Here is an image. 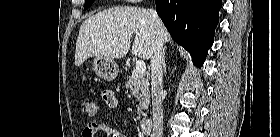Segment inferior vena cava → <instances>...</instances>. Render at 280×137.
I'll list each match as a JSON object with an SVG mask.
<instances>
[{
    "mask_svg": "<svg viewBox=\"0 0 280 137\" xmlns=\"http://www.w3.org/2000/svg\"><path fill=\"white\" fill-rule=\"evenodd\" d=\"M156 28L160 25V19L154 9H148ZM163 47L155 33V40L151 51V92H152V135L162 137L163 134V108H162V81H163Z\"/></svg>",
    "mask_w": 280,
    "mask_h": 137,
    "instance_id": "1",
    "label": "inferior vena cava"
}]
</instances>
